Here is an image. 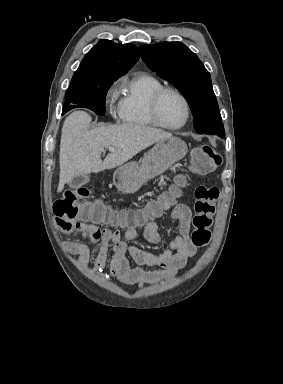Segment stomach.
Returning <instances> with one entry per match:
<instances>
[{
    "label": "stomach",
    "mask_w": 283,
    "mask_h": 384,
    "mask_svg": "<svg viewBox=\"0 0 283 384\" xmlns=\"http://www.w3.org/2000/svg\"><path fill=\"white\" fill-rule=\"evenodd\" d=\"M187 144L180 138H165L156 142L154 148L146 152L145 156L138 162H128L117 168L114 172L113 182L122 194H135L139 188L166 172L172 164L182 160L186 156Z\"/></svg>",
    "instance_id": "0dacf381"
}]
</instances>
